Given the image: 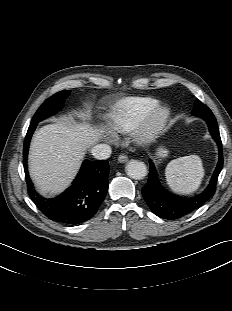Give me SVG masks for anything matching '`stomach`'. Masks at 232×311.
Segmentation results:
<instances>
[{"instance_id":"stomach-1","label":"stomach","mask_w":232,"mask_h":311,"mask_svg":"<svg viewBox=\"0 0 232 311\" xmlns=\"http://www.w3.org/2000/svg\"><path fill=\"white\" fill-rule=\"evenodd\" d=\"M167 154H168V151H167L165 148H159V149L157 150L156 157H157L158 159L164 158V157L167 156Z\"/></svg>"}]
</instances>
